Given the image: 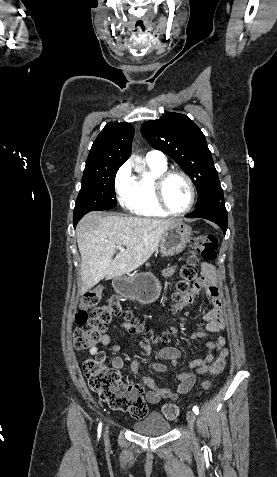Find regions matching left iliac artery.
Listing matches in <instances>:
<instances>
[{
    "label": "left iliac artery",
    "mask_w": 277,
    "mask_h": 477,
    "mask_svg": "<svg viewBox=\"0 0 277 477\" xmlns=\"http://www.w3.org/2000/svg\"><path fill=\"white\" fill-rule=\"evenodd\" d=\"M193 412H194L196 415H198L199 409H198L197 406H194V407H193Z\"/></svg>",
    "instance_id": "left-iliac-artery-1"
}]
</instances>
